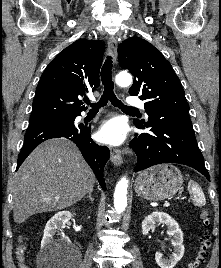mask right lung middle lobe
<instances>
[{"instance_id":"dd1d6c3e","label":"right lung middle lobe","mask_w":221,"mask_h":268,"mask_svg":"<svg viewBox=\"0 0 221 268\" xmlns=\"http://www.w3.org/2000/svg\"><path fill=\"white\" fill-rule=\"evenodd\" d=\"M77 116H66V117H60L56 118L54 120H59V121H74Z\"/></svg>"}]
</instances>
